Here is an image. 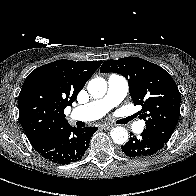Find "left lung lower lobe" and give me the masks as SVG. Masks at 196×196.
<instances>
[{"label": "left lung lower lobe", "mask_w": 196, "mask_h": 196, "mask_svg": "<svg viewBox=\"0 0 196 196\" xmlns=\"http://www.w3.org/2000/svg\"><path fill=\"white\" fill-rule=\"evenodd\" d=\"M165 144L166 143L155 135L144 130L140 137L133 136V134L130 133V140L121 146V150L129 157L143 158L155 154L161 150Z\"/></svg>", "instance_id": "1"}]
</instances>
